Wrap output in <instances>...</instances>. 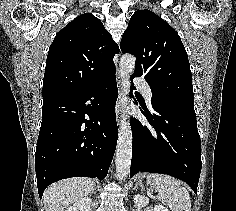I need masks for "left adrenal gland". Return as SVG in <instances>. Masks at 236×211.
<instances>
[{
	"mask_svg": "<svg viewBox=\"0 0 236 211\" xmlns=\"http://www.w3.org/2000/svg\"><path fill=\"white\" fill-rule=\"evenodd\" d=\"M138 186H140V187L143 186L141 180H139L138 182H136V184H135V186H134V189H136Z\"/></svg>",
	"mask_w": 236,
	"mask_h": 211,
	"instance_id": "1",
	"label": "left adrenal gland"
}]
</instances>
